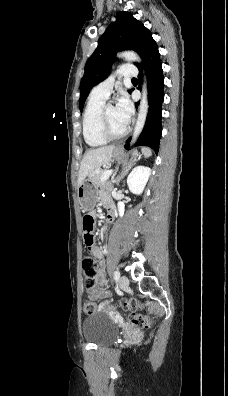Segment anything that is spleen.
I'll use <instances>...</instances> for the list:
<instances>
[{"label": "spleen", "mask_w": 228, "mask_h": 396, "mask_svg": "<svg viewBox=\"0 0 228 396\" xmlns=\"http://www.w3.org/2000/svg\"><path fill=\"white\" fill-rule=\"evenodd\" d=\"M141 151L145 158L150 157L152 154L151 150L147 147H142Z\"/></svg>", "instance_id": "1"}]
</instances>
